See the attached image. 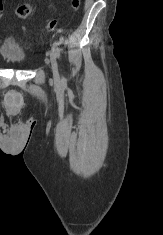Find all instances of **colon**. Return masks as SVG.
Segmentation results:
<instances>
[{"label": "colon", "mask_w": 163, "mask_h": 235, "mask_svg": "<svg viewBox=\"0 0 163 235\" xmlns=\"http://www.w3.org/2000/svg\"><path fill=\"white\" fill-rule=\"evenodd\" d=\"M70 6L73 10H77L80 6V0H70ZM4 5L3 1L0 0V14L3 12ZM32 12V7L28 4H23L17 7L16 9V15L21 18L25 19L27 18ZM58 24V21L56 19L49 20L44 25V29L47 31L54 30Z\"/></svg>", "instance_id": "1"}]
</instances>
